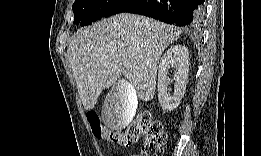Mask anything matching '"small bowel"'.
<instances>
[{"label":"small bowel","instance_id":"c3829d8e","mask_svg":"<svg viewBox=\"0 0 261 156\" xmlns=\"http://www.w3.org/2000/svg\"><path fill=\"white\" fill-rule=\"evenodd\" d=\"M95 118H96V119H99L98 116H97L96 114H95Z\"/></svg>","mask_w":261,"mask_h":156}]
</instances>
